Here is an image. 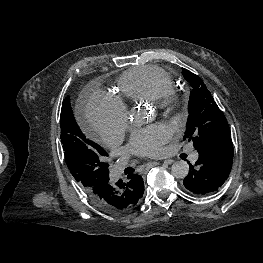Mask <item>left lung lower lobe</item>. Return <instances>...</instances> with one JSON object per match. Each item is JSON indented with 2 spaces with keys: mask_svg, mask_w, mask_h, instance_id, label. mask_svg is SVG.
<instances>
[{
  "mask_svg": "<svg viewBox=\"0 0 263 263\" xmlns=\"http://www.w3.org/2000/svg\"><path fill=\"white\" fill-rule=\"evenodd\" d=\"M195 167L190 165L183 183L187 190L196 195H208L217 191L227 180L233 162L231 137H220L199 150Z\"/></svg>",
  "mask_w": 263,
  "mask_h": 263,
  "instance_id": "1",
  "label": "left lung lower lobe"
}]
</instances>
